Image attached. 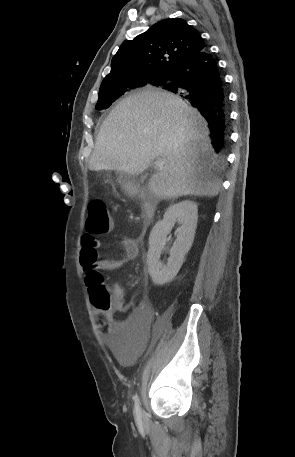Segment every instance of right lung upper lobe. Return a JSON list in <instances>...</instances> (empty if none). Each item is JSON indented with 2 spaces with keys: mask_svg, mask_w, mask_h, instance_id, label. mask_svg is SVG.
I'll return each mask as SVG.
<instances>
[{
  "mask_svg": "<svg viewBox=\"0 0 295 457\" xmlns=\"http://www.w3.org/2000/svg\"><path fill=\"white\" fill-rule=\"evenodd\" d=\"M205 46L198 31L185 20H162L133 40L122 43L99 92L131 89L151 78L174 76L184 62Z\"/></svg>",
  "mask_w": 295,
  "mask_h": 457,
  "instance_id": "obj_1",
  "label": "right lung upper lobe"
}]
</instances>
